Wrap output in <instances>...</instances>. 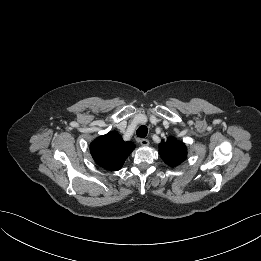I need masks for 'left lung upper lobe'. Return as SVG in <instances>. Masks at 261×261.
I'll return each mask as SVG.
<instances>
[{"mask_svg":"<svg viewBox=\"0 0 261 261\" xmlns=\"http://www.w3.org/2000/svg\"><path fill=\"white\" fill-rule=\"evenodd\" d=\"M159 151L163 161L171 167L181 164L187 157L185 144L173 137H169L166 142L162 140Z\"/></svg>","mask_w":261,"mask_h":261,"instance_id":"left-lung-upper-lobe-1","label":"left lung upper lobe"}]
</instances>
